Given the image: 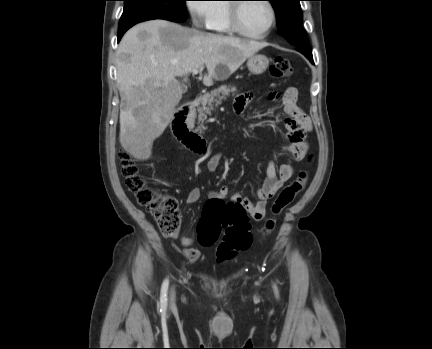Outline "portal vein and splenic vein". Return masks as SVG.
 Instances as JSON below:
<instances>
[{
    "mask_svg": "<svg viewBox=\"0 0 432 349\" xmlns=\"http://www.w3.org/2000/svg\"><path fill=\"white\" fill-rule=\"evenodd\" d=\"M191 72H192L193 74H195V75H196V74H198V73H199V70H198V69H194V70H192Z\"/></svg>",
    "mask_w": 432,
    "mask_h": 349,
    "instance_id": "obj_1",
    "label": "portal vein and splenic vein"
}]
</instances>
